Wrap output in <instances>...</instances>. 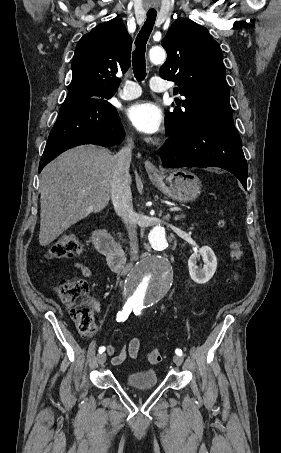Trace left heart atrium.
I'll list each match as a JSON object with an SVG mask.
<instances>
[{
    "label": "left heart atrium",
    "mask_w": 281,
    "mask_h": 453,
    "mask_svg": "<svg viewBox=\"0 0 281 453\" xmlns=\"http://www.w3.org/2000/svg\"><path fill=\"white\" fill-rule=\"evenodd\" d=\"M129 122L140 132L156 134L163 124L161 109L150 101H139L126 111Z\"/></svg>",
    "instance_id": "obj_1"
}]
</instances>
